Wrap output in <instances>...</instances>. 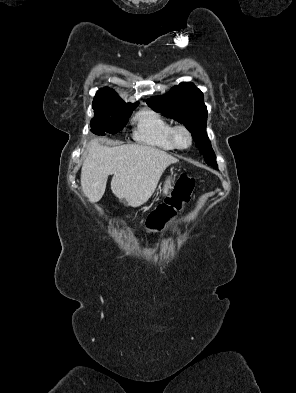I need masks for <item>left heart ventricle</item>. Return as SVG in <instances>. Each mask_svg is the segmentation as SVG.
<instances>
[{
	"instance_id": "b2bd125f",
	"label": "left heart ventricle",
	"mask_w": 296,
	"mask_h": 393,
	"mask_svg": "<svg viewBox=\"0 0 296 393\" xmlns=\"http://www.w3.org/2000/svg\"><path fill=\"white\" fill-rule=\"evenodd\" d=\"M177 139H178L179 144L182 145V146L187 145L188 142H189L187 134L185 132H183V131H180L178 133Z\"/></svg>"
}]
</instances>
